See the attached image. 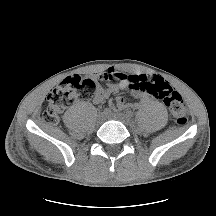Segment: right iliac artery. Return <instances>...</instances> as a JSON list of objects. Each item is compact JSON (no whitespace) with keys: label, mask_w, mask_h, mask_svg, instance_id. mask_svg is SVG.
<instances>
[{"label":"right iliac artery","mask_w":216,"mask_h":216,"mask_svg":"<svg viewBox=\"0 0 216 216\" xmlns=\"http://www.w3.org/2000/svg\"><path fill=\"white\" fill-rule=\"evenodd\" d=\"M103 113H105L106 115L110 114L111 113V110L109 108H105L103 110Z\"/></svg>","instance_id":"1"}]
</instances>
